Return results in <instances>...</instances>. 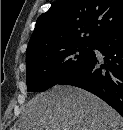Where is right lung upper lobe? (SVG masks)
<instances>
[{
  "instance_id": "cb5924a9",
  "label": "right lung upper lobe",
  "mask_w": 123,
  "mask_h": 130,
  "mask_svg": "<svg viewBox=\"0 0 123 130\" xmlns=\"http://www.w3.org/2000/svg\"><path fill=\"white\" fill-rule=\"evenodd\" d=\"M123 25V0H57L37 19L27 61L78 44H95Z\"/></svg>"
}]
</instances>
